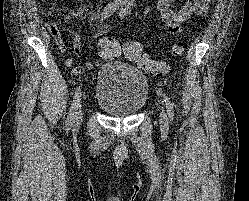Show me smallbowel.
<instances>
[{"instance_id":"1","label":"small bowel","mask_w":249,"mask_h":201,"mask_svg":"<svg viewBox=\"0 0 249 201\" xmlns=\"http://www.w3.org/2000/svg\"><path fill=\"white\" fill-rule=\"evenodd\" d=\"M174 0H157L156 8L158 12L161 14L162 22L165 26L167 32L171 34H178L184 30V24L193 16H203L208 11L209 3L212 0H187L180 9L175 10L172 7V3ZM46 29L49 31L52 38L58 45V48L61 52L66 50L65 42L61 36V33L57 27V25L53 22L45 23ZM110 29L109 25L102 26L95 34L94 38H99ZM72 32V48L74 53L77 56H81V38L80 35L71 30ZM100 60H96L94 62H86L82 66H74V59L67 58L65 61L66 66L73 67L72 72L74 75H80L84 71L93 70L95 67L100 65Z\"/></svg>"}]
</instances>
